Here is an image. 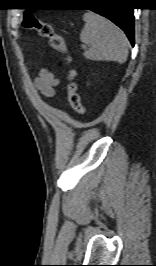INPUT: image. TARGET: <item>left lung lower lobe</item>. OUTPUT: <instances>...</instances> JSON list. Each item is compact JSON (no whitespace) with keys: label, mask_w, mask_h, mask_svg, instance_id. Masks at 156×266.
<instances>
[{"label":"left lung lower lobe","mask_w":156,"mask_h":266,"mask_svg":"<svg viewBox=\"0 0 156 266\" xmlns=\"http://www.w3.org/2000/svg\"><path fill=\"white\" fill-rule=\"evenodd\" d=\"M111 0H90L89 4L93 7L90 10L110 19L120 27L127 35L132 46H134V15L133 9L124 7L123 2L110 4Z\"/></svg>","instance_id":"1"}]
</instances>
